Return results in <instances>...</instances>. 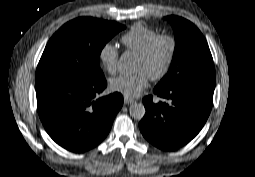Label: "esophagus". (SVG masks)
<instances>
[{
	"label": "esophagus",
	"mask_w": 255,
	"mask_h": 177,
	"mask_svg": "<svg viewBox=\"0 0 255 177\" xmlns=\"http://www.w3.org/2000/svg\"><path fill=\"white\" fill-rule=\"evenodd\" d=\"M134 102H135V101H134L133 99L124 97V104H131V103H134Z\"/></svg>",
	"instance_id": "34e87169"
}]
</instances>
